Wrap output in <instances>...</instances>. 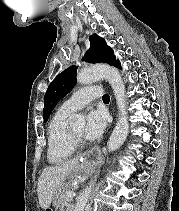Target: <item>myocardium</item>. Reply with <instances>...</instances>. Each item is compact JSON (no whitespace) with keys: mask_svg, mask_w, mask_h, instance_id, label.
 <instances>
[{"mask_svg":"<svg viewBox=\"0 0 179 211\" xmlns=\"http://www.w3.org/2000/svg\"><path fill=\"white\" fill-rule=\"evenodd\" d=\"M70 138L72 145L74 146L75 149H80L85 146V142L82 137L78 136L72 128H70Z\"/></svg>","mask_w":179,"mask_h":211,"instance_id":"1","label":"myocardium"}]
</instances>
